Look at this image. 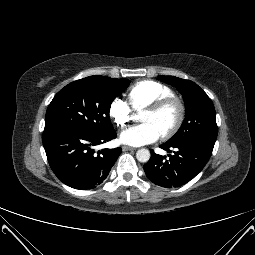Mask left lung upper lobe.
Instances as JSON below:
<instances>
[{
	"label": "left lung upper lobe",
	"instance_id": "1",
	"mask_svg": "<svg viewBox=\"0 0 255 255\" xmlns=\"http://www.w3.org/2000/svg\"><path fill=\"white\" fill-rule=\"evenodd\" d=\"M182 94L186 117L178 132L166 143L182 145L199 143L214 147L218 127L215 108L208 95L194 82L174 76H158Z\"/></svg>",
	"mask_w": 255,
	"mask_h": 255
}]
</instances>
